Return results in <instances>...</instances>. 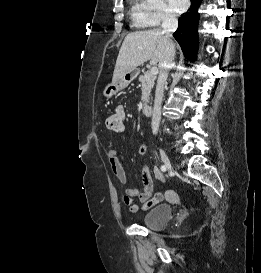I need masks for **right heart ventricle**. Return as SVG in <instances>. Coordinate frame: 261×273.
Masks as SVG:
<instances>
[{"mask_svg": "<svg viewBox=\"0 0 261 273\" xmlns=\"http://www.w3.org/2000/svg\"><path fill=\"white\" fill-rule=\"evenodd\" d=\"M139 17H140V13H139V9H138V2H136V0H134V4L132 7V18L138 24H139Z\"/></svg>", "mask_w": 261, "mask_h": 273, "instance_id": "right-heart-ventricle-1", "label": "right heart ventricle"}]
</instances>
